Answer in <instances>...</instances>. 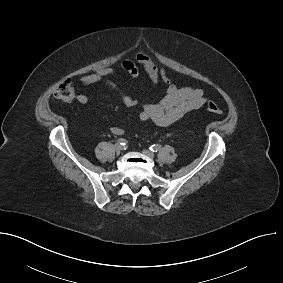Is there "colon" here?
Returning a JSON list of instances; mask_svg holds the SVG:
<instances>
[{"label":"colon","mask_w":283,"mask_h":283,"mask_svg":"<svg viewBox=\"0 0 283 283\" xmlns=\"http://www.w3.org/2000/svg\"><path fill=\"white\" fill-rule=\"evenodd\" d=\"M55 97L63 102H71L75 97V91L70 81L61 83L56 91ZM206 109L215 115H221L222 110L220 107L212 101L206 103Z\"/></svg>","instance_id":"1"}]
</instances>
